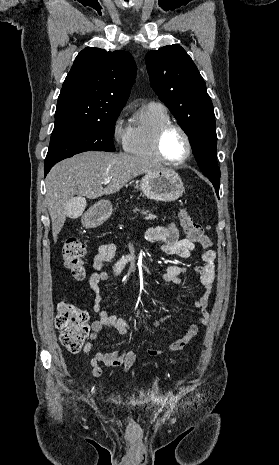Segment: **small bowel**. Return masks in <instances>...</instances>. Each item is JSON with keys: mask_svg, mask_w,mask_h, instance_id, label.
Segmentation results:
<instances>
[{"mask_svg": "<svg viewBox=\"0 0 279 465\" xmlns=\"http://www.w3.org/2000/svg\"><path fill=\"white\" fill-rule=\"evenodd\" d=\"M146 240L158 246L160 250L169 255H176L183 259H188L195 251V243L189 238H181L179 230L175 224L171 223L167 226L151 227L146 232ZM117 246L113 242L103 243L99 246L98 252L93 259V272L88 277L89 287L94 294L93 311L97 316L91 324V333L88 342L83 348V353L88 355L92 348L93 342L97 339L98 334L103 329H113L121 335H126L129 332V324L121 317L111 314L102 308V294L100 283L109 278V274L105 269V264L110 262L116 254ZM200 258L203 265L196 266L195 272L199 275V284L203 288L202 294L195 300V307L199 310L200 316L194 323H191L186 331L177 339H175L166 350L151 348L148 350L149 356L155 357L168 352H179L183 347L194 338L200 326H205L209 321L207 306L209 296L212 292V286L215 278V260L216 254L213 250L207 249L200 253ZM186 272V268L178 265H169L162 274V280L165 283L180 284V276ZM163 319L155 320L152 325H158ZM136 361V355L131 350H114L110 352L99 351L90 359L92 375L99 378L102 375L101 364L108 368H122L124 372H128Z\"/></svg>", "mask_w": 279, "mask_h": 465, "instance_id": "c3829d8e", "label": "small bowel"}]
</instances>
